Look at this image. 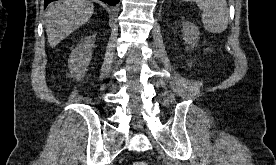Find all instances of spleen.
Listing matches in <instances>:
<instances>
[{
  "label": "spleen",
  "instance_id": "1",
  "mask_svg": "<svg viewBox=\"0 0 276 165\" xmlns=\"http://www.w3.org/2000/svg\"><path fill=\"white\" fill-rule=\"evenodd\" d=\"M194 1L202 10V22L205 29L211 33L219 34L226 30L229 11L226 0H183Z\"/></svg>",
  "mask_w": 276,
  "mask_h": 165
}]
</instances>
